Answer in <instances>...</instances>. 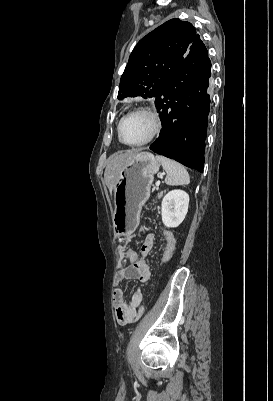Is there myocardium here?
I'll return each mask as SVG.
<instances>
[{"label":"myocardium","mask_w":273,"mask_h":401,"mask_svg":"<svg viewBox=\"0 0 273 401\" xmlns=\"http://www.w3.org/2000/svg\"><path fill=\"white\" fill-rule=\"evenodd\" d=\"M136 114H143V115L150 117L154 123V129L151 132V134L144 140L136 142V143H129V142H126L123 140V138L121 136V127L126 118H128L129 116H132V115H136ZM162 130H163V121H162L161 117L152 108H150L148 106H141V107L135 108L134 110L128 112L123 117H121V119L119 120L117 127H116V133H117L118 140L123 145L128 146V147H140V146L146 145V144L150 143L151 141H153L154 139H156L157 137H159Z\"/></svg>","instance_id":"f54148a6"}]
</instances>
